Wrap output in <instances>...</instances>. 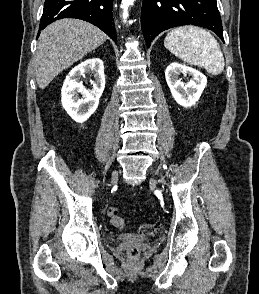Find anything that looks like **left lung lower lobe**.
Masks as SVG:
<instances>
[{"label":"left lung lower lobe","mask_w":259,"mask_h":294,"mask_svg":"<svg viewBox=\"0 0 259 294\" xmlns=\"http://www.w3.org/2000/svg\"><path fill=\"white\" fill-rule=\"evenodd\" d=\"M197 25L215 32L222 41L223 27L216 0H143L141 25L149 47L164 30Z\"/></svg>","instance_id":"obj_1"}]
</instances>
